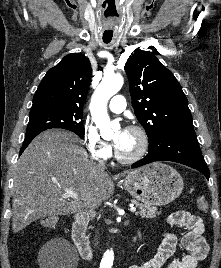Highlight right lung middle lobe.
<instances>
[{
  "label": "right lung middle lobe",
  "instance_id": "dd1d6c3e",
  "mask_svg": "<svg viewBox=\"0 0 221 268\" xmlns=\"http://www.w3.org/2000/svg\"><path fill=\"white\" fill-rule=\"evenodd\" d=\"M83 112L63 109H50L30 112L27 132L44 131L50 128H62L84 138Z\"/></svg>",
  "mask_w": 221,
  "mask_h": 268
}]
</instances>
